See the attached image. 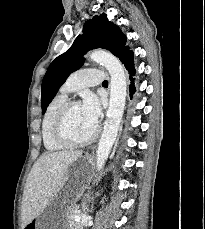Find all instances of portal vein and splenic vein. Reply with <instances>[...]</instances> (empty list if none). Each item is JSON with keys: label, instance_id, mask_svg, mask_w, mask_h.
Segmentation results:
<instances>
[{"label": "portal vein and splenic vein", "instance_id": "obj_1", "mask_svg": "<svg viewBox=\"0 0 205 229\" xmlns=\"http://www.w3.org/2000/svg\"><path fill=\"white\" fill-rule=\"evenodd\" d=\"M74 220H75V221H79V220H80V217H79L78 215H76V216L74 217Z\"/></svg>", "mask_w": 205, "mask_h": 229}]
</instances>
